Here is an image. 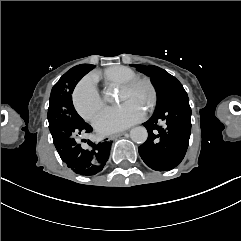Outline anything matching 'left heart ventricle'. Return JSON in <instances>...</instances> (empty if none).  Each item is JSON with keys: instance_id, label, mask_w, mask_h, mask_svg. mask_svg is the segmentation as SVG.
Here are the masks:
<instances>
[{"instance_id": "1", "label": "left heart ventricle", "mask_w": 241, "mask_h": 241, "mask_svg": "<svg viewBox=\"0 0 241 241\" xmlns=\"http://www.w3.org/2000/svg\"><path fill=\"white\" fill-rule=\"evenodd\" d=\"M124 98L128 103L137 104L140 108L151 107L155 101V91L151 81L146 77L139 79L124 93Z\"/></svg>"}]
</instances>
